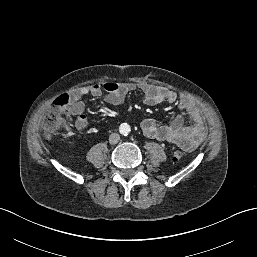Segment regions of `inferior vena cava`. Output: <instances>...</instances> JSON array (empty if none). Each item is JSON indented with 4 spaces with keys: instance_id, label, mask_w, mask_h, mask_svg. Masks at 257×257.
Listing matches in <instances>:
<instances>
[{
    "instance_id": "1",
    "label": "inferior vena cava",
    "mask_w": 257,
    "mask_h": 257,
    "mask_svg": "<svg viewBox=\"0 0 257 257\" xmlns=\"http://www.w3.org/2000/svg\"><path fill=\"white\" fill-rule=\"evenodd\" d=\"M120 140V135L118 133H112L109 137V141L112 144H116Z\"/></svg>"
}]
</instances>
